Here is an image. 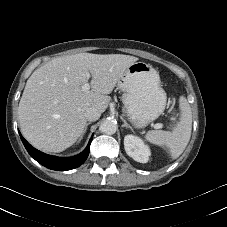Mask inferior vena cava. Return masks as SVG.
I'll return each mask as SVG.
<instances>
[{
	"mask_svg": "<svg viewBox=\"0 0 227 227\" xmlns=\"http://www.w3.org/2000/svg\"><path fill=\"white\" fill-rule=\"evenodd\" d=\"M100 115L101 113L96 108H89L85 112V117L88 121H96Z\"/></svg>",
	"mask_w": 227,
	"mask_h": 227,
	"instance_id": "602c4592",
	"label": "inferior vena cava"
}]
</instances>
